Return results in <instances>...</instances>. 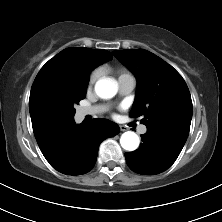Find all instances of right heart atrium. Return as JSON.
<instances>
[{"label":"right heart atrium","mask_w":222,"mask_h":222,"mask_svg":"<svg viewBox=\"0 0 222 222\" xmlns=\"http://www.w3.org/2000/svg\"><path fill=\"white\" fill-rule=\"evenodd\" d=\"M100 76V70L99 69H95L89 78V85L92 86L99 78Z\"/></svg>","instance_id":"obj_1"}]
</instances>
